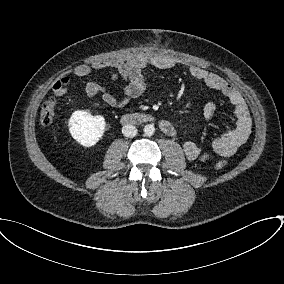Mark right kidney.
<instances>
[{"instance_id": "right-kidney-1", "label": "right kidney", "mask_w": 284, "mask_h": 284, "mask_svg": "<svg viewBox=\"0 0 284 284\" xmlns=\"http://www.w3.org/2000/svg\"><path fill=\"white\" fill-rule=\"evenodd\" d=\"M103 116H92L88 111L77 110L69 119V132L73 139L85 147L94 146L105 133Z\"/></svg>"}]
</instances>
